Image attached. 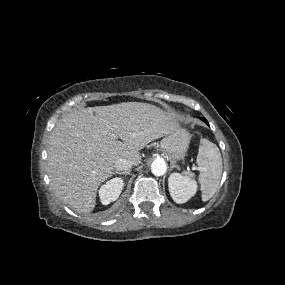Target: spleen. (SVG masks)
I'll use <instances>...</instances> for the list:
<instances>
[{
  "mask_svg": "<svg viewBox=\"0 0 285 285\" xmlns=\"http://www.w3.org/2000/svg\"><path fill=\"white\" fill-rule=\"evenodd\" d=\"M196 163L200 168L198 177L202 192V201H208L217 191L222 175V157L219 148L207 139L199 146ZM187 178L194 174L183 172Z\"/></svg>",
  "mask_w": 285,
  "mask_h": 285,
  "instance_id": "obj_1",
  "label": "spleen"
}]
</instances>
